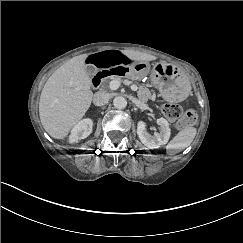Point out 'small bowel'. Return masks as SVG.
I'll return each mask as SVG.
<instances>
[{"instance_id": "c3829d8e", "label": "small bowel", "mask_w": 243, "mask_h": 243, "mask_svg": "<svg viewBox=\"0 0 243 243\" xmlns=\"http://www.w3.org/2000/svg\"><path fill=\"white\" fill-rule=\"evenodd\" d=\"M86 62L99 68L109 69L118 66H128L132 59L126 53L119 50H105L86 58Z\"/></svg>"}]
</instances>
